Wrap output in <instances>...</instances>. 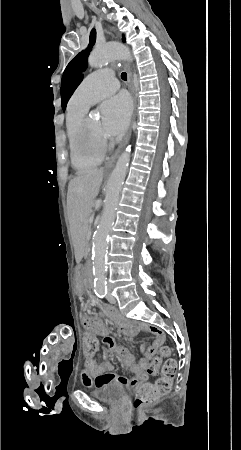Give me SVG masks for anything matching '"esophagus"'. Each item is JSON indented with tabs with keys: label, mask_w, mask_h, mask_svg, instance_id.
I'll list each match as a JSON object with an SVG mask.
<instances>
[{
	"label": "esophagus",
	"mask_w": 241,
	"mask_h": 450,
	"mask_svg": "<svg viewBox=\"0 0 241 450\" xmlns=\"http://www.w3.org/2000/svg\"><path fill=\"white\" fill-rule=\"evenodd\" d=\"M125 69H126L127 75H128V87H129L130 91L132 92V96H133V100H134V111H135L136 98H135V90H134V85H133V80H132V74H131L130 69L126 65H125ZM131 133H132V129L130 128L128 131V134L126 136L124 144L120 148L117 149L116 153L112 156V158L108 161V163L105 165L104 168L110 169L111 167H113L118 155L120 154V152L122 151L124 146L128 143V141L131 137Z\"/></svg>",
	"instance_id": "obj_1"
}]
</instances>
